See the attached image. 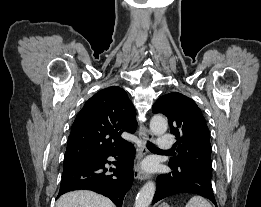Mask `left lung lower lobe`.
Returning <instances> with one entry per match:
<instances>
[{
  "mask_svg": "<svg viewBox=\"0 0 261 207\" xmlns=\"http://www.w3.org/2000/svg\"><path fill=\"white\" fill-rule=\"evenodd\" d=\"M168 174L159 175L152 204L175 194L192 193L203 196L217 207L210 176L187 167H172Z\"/></svg>",
  "mask_w": 261,
  "mask_h": 207,
  "instance_id": "0a47b994",
  "label": "left lung lower lobe"
}]
</instances>
